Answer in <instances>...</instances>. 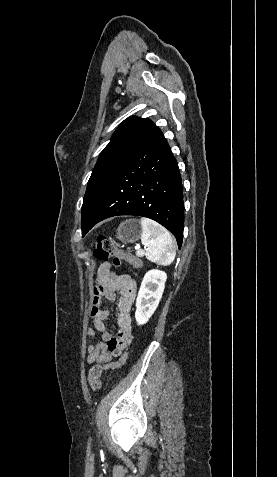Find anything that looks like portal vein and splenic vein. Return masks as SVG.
I'll return each instance as SVG.
<instances>
[{"instance_id": "18ae733b", "label": "portal vein and splenic vein", "mask_w": 277, "mask_h": 477, "mask_svg": "<svg viewBox=\"0 0 277 477\" xmlns=\"http://www.w3.org/2000/svg\"><path fill=\"white\" fill-rule=\"evenodd\" d=\"M135 250H136V254H137L138 256H143L144 250L140 249L139 246H135Z\"/></svg>"}]
</instances>
